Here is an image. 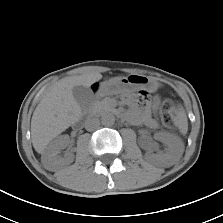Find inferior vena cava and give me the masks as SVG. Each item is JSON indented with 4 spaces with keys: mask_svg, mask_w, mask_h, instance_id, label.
Returning a JSON list of instances; mask_svg holds the SVG:
<instances>
[{
    "mask_svg": "<svg viewBox=\"0 0 223 223\" xmlns=\"http://www.w3.org/2000/svg\"><path fill=\"white\" fill-rule=\"evenodd\" d=\"M100 125V121L98 118H89L85 122V128L88 131L96 130Z\"/></svg>",
    "mask_w": 223,
    "mask_h": 223,
    "instance_id": "1",
    "label": "inferior vena cava"
}]
</instances>
